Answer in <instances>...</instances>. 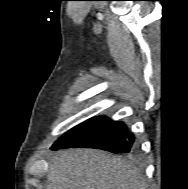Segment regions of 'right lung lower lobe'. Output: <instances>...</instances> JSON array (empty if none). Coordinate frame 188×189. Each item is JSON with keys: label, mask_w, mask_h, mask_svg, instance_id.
Wrapping results in <instances>:
<instances>
[{"label": "right lung lower lobe", "mask_w": 188, "mask_h": 189, "mask_svg": "<svg viewBox=\"0 0 188 189\" xmlns=\"http://www.w3.org/2000/svg\"><path fill=\"white\" fill-rule=\"evenodd\" d=\"M133 142L134 136L127 132L123 122L97 116L69 130L51 149L97 148L113 153L134 154L137 148Z\"/></svg>", "instance_id": "obj_1"}]
</instances>
